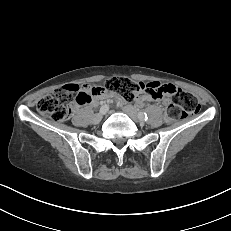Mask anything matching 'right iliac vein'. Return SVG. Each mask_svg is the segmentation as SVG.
<instances>
[{"instance_id": "right-iliac-vein-1", "label": "right iliac vein", "mask_w": 231, "mask_h": 231, "mask_svg": "<svg viewBox=\"0 0 231 231\" xmlns=\"http://www.w3.org/2000/svg\"><path fill=\"white\" fill-rule=\"evenodd\" d=\"M107 112H99L97 113L94 117H93V122L94 123H99L102 118H103V115H105Z\"/></svg>"}]
</instances>
